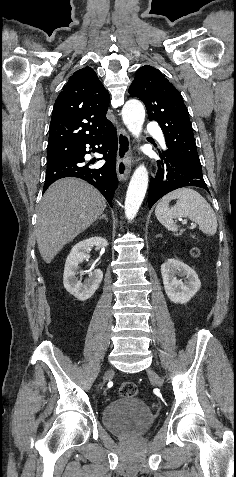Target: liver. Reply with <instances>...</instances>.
<instances>
[{"label":"liver","mask_w":236,"mask_h":477,"mask_svg":"<svg viewBox=\"0 0 236 477\" xmlns=\"http://www.w3.org/2000/svg\"><path fill=\"white\" fill-rule=\"evenodd\" d=\"M105 208V198L90 184L76 178L54 182L38 206L36 239L43 260L51 263L66 244L99 218Z\"/></svg>","instance_id":"6515ba94"}]
</instances>
